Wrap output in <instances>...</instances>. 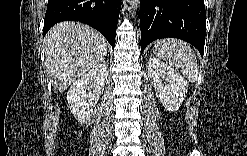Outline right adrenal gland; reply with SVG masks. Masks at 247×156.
I'll return each mask as SVG.
<instances>
[{
	"label": "right adrenal gland",
	"mask_w": 247,
	"mask_h": 156,
	"mask_svg": "<svg viewBox=\"0 0 247 156\" xmlns=\"http://www.w3.org/2000/svg\"><path fill=\"white\" fill-rule=\"evenodd\" d=\"M102 62H103V63L105 62V57L103 58Z\"/></svg>",
	"instance_id": "right-adrenal-gland-1"
}]
</instances>
